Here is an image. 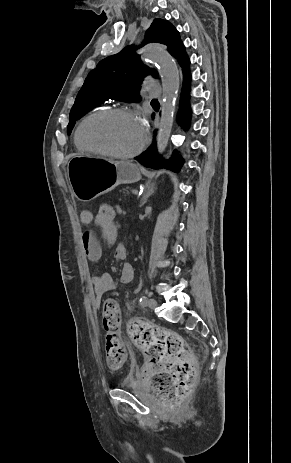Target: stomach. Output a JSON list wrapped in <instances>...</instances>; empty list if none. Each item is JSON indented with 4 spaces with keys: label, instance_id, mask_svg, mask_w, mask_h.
Returning <instances> with one entry per match:
<instances>
[{
    "label": "stomach",
    "instance_id": "1",
    "mask_svg": "<svg viewBox=\"0 0 291 463\" xmlns=\"http://www.w3.org/2000/svg\"><path fill=\"white\" fill-rule=\"evenodd\" d=\"M67 176L75 197L91 201L119 184L141 179L137 165L90 154H73L67 163Z\"/></svg>",
    "mask_w": 291,
    "mask_h": 463
}]
</instances>
